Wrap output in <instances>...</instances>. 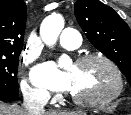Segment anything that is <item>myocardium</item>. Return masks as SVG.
<instances>
[{
  "mask_svg": "<svg viewBox=\"0 0 131 115\" xmlns=\"http://www.w3.org/2000/svg\"><path fill=\"white\" fill-rule=\"evenodd\" d=\"M93 60H99L108 65L114 73L116 79V87L111 94L104 98H80L75 95H71L70 99L79 106L82 107H103L109 105L116 100L124 90L123 75L118 65L106 55L100 53L85 54L78 57L75 61V65H81Z\"/></svg>",
  "mask_w": 131,
  "mask_h": 115,
  "instance_id": "obj_1",
  "label": "myocardium"
}]
</instances>
